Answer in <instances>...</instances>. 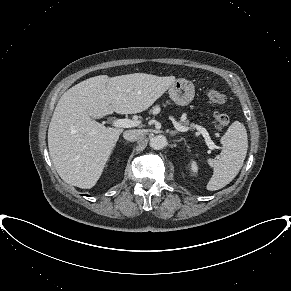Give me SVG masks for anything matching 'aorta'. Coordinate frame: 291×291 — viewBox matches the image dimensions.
<instances>
[{"label": "aorta", "instance_id": "obj_1", "mask_svg": "<svg viewBox=\"0 0 291 291\" xmlns=\"http://www.w3.org/2000/svg\"><path fill=\"white\" fill-rule=\"evenodd\" d=\"M167 144V139L163 135H157L150 139L149 145L155 150H160L164 148Z\"/></svg>", "mask_w": 291, "mask_h": 291}]
</instances>
